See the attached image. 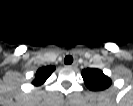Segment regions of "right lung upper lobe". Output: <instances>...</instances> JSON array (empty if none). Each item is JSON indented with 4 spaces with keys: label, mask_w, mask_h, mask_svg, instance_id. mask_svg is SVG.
<instances>
[{
    "label": "right lung upper lobe",
    "mask_w": 133,
    "mask_h": 106,
    "mask_svg": "<svg viewBox=\"0 0 133 106\" xmlns=\"http://www.w3.org/2000/svg\"><path fill=\"white\" fill-rule=\"evenodd\" d=\"M55 70V66H46L40 68L35 75V79L33 80L32 84L35 86L42 85L47 78L53 73Z\"/></svg>",
    "instance_id": "cb5924a9"
}]
</instances>
